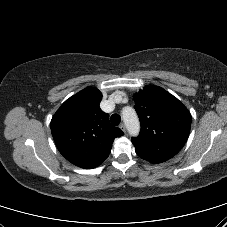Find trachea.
Here are the masks:
<instances>
[{
	"label": "trachea",
	"instance_id": "3493384b",
	"mask_svg": "<svg viewBox=\"0 0 227 227\" xmlns=\"http://www.w3.org/2000/svg\"><path fill=\"white\" fill-rule=\"evenodd\" d=\"M111 120V123L114 125V126H118L120 121H121V117L120 115L118 114H113L110 118Z\"/></svg>",
	"mask_w": 227,
	"mask_h": 227
}]
</instances>
